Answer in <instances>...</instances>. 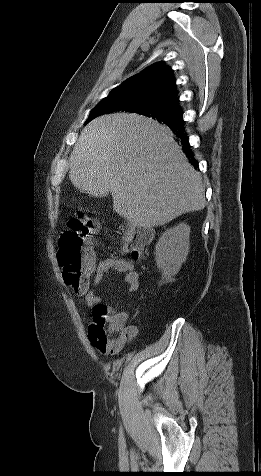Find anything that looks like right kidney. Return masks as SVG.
I'll return each mask as SVG.
<instances>
[{
	"label": "right kidney",
	"mask_w": 261,
	"mask_h": 476,
	"mask_svg": "<svg viewBox=\"0 0 261 476\" xmlns=\"http://www.w3.org/2000/svg\"><path fill=\"white\" fill-rule=\"evenodd\" d=\"M190 227L185 223L166 230L155 247V260L162 275L171 278L176 275L189 252Z\"/></svg>",
	"instance_id": "ca27d5eb"
}]
</instances>
